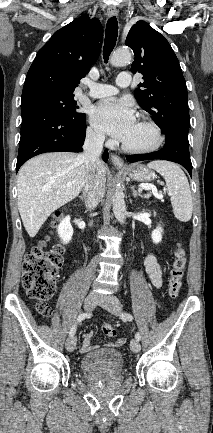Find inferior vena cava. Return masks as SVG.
<instances>
[{"label": "inferior vena cava", "instance_id": "1", "mask_svg": "<svg viewBox=\"0 0 213 433\" xmlns=\"http://www.w3.org/2000/svg\"><path fill=\"white\" fill-rule=\"evenodd\" d=\"M105 136L101 133H86L83 152L80 157L86 164V177L83 186L85 205L88 211L94 209L105 194V177L100 170V155L103 150Z\"/></svg>", "mask_w": 213, "mask_h": 433}]
</instances>
